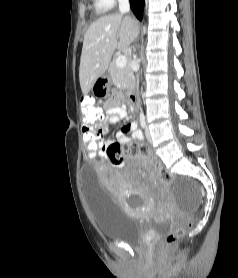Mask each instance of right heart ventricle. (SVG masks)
<instances>
[{
	"label": "right heart ventricle",
	"instance_id": "right-heart-ventricle-1",
	"mask_svg": "<svg viewBox=\"0 0 238 278\" xmlns=\"http://www.w3.org/2000/svg\"><path fill=\"white\" fill-rule=\"evenodd\" d=\"M93 2L97 14H104L112 8V5L107 0H93Z\"/></svg>",
	"mask_w": 238,
	"mask_h": 278
}]
</instances>
